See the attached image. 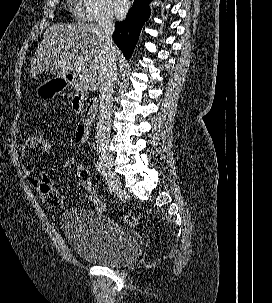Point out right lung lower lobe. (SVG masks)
Listing matches in <instances>:
<instances>
[{"label": "right lung lower lobe", "instance_id": "98d812e1", "mask_svg": "<svg viewBox=\"0 0 272 303\" xmlns=\"http://www.w3.org/2000/svg\"><path fill=\"white\" fill-rule=\"evenodd\" d=\"M150 2L151 0H134L126 19L115 24L113 40L127 59L132 56L141 28L150 17Z\"/></svg>", "mask_w": 272, "mask_h": 303}]
</instances>
